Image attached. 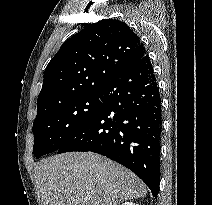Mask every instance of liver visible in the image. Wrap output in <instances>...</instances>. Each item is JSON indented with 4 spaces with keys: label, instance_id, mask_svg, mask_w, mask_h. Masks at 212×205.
<instances>
[{
    "label": "liver",
    "instance_id": "1",
    "mask_svg": "<svg viewBox=\"0 0 212 205\" xmlns=\"http://www.w3.org/2000/svg\"><path fill=\"white\" fill-rule=\"evenodd\" d=\"M41 205H120L143 198L145 184L130 170L93 152H67L34 168Z\"/></svg>",
    "mask_w": 212,
    "mask_h": 205
}]
</instances>
